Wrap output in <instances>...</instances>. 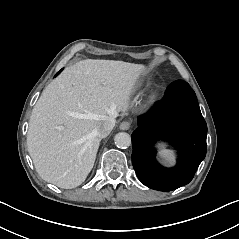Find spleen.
<instances>
[{"instance_id":"spleen-1","label":"spleen","mask_w":239,"mask_h":239,"mask_svg":"<svg viewBox=\"0 0 239 239\" xmlns=\"http://www.w3.org/2000/svg\"><path fill=\"white\" fill-rule=\"evenodd\" d=\"M159 156L167 162L173 161V156L169 150H162Z\"/></svg>"}]
</instances>
